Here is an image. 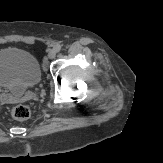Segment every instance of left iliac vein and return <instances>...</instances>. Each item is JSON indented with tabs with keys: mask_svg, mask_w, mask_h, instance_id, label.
<instances>
[{
	"mask_svg": "<svg viewBox=\"0 0 163 163\" xmlns=\"http://www.w3.org/2000/svg\"><path fill=\"white\" fill-rule=\"evenodd\" d=\"M55 56H56V51H55V49L50 50V52L48 53V58H49V59H53ZM44 65H45V66L47 65V61H46V60L44 61Z\"/></svg>",
	"mask_w": 163,
	"mask_h": 163,
	"instance_id": "left-iliac-vein-1",
	"label": "left iliac vein"
}]
</instances>
